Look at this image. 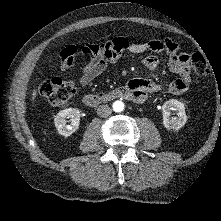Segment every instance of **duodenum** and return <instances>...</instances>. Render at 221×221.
Listing matches in <instances>:
<instances>
[{
  "label": "duodenum",
  "mask_w": 221,
  "mask_h": 221,
  "mask_svg": "<svg viewBox=\"0 0 221 221\" xmlns=\"http://www.w3.org/2000/svg\"><path fill=\"white\" fill-rule=\"evenodd\" d=\"M119 98L132 99V93L126 86H122L105 94H86L83 97V103L87 107L95 108Z\"/></svg>",
  "instance_id": "1"
}]
</instances>
